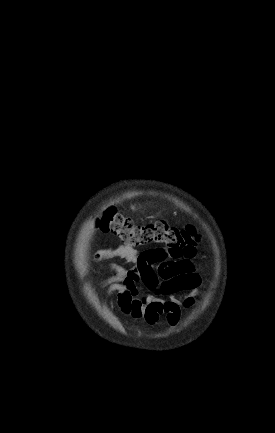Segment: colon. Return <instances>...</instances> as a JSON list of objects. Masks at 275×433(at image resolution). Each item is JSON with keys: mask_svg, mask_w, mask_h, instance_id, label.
I'll list each match as a JSON object with an SVG mask.
<instances>
[{"mask_svg": "<svg viewBox=\"0 0 275 433\" xmlns=\"http://www.w3.org/2000/svg\"><path fill=\"white\" fill-rule=\"evenodd\" d=\"M98 227L102 232L118 237L125 247L162 244L167 248L166 256L174 259L188 258L195 253L197 235L193 226L174 227L165 221L135 224L110 207L99 218Z\"/></svg>", "mask_w": 275, "mask_h": 433, "instance_id": "colon-1", "label": "colon"}]
</instances>
